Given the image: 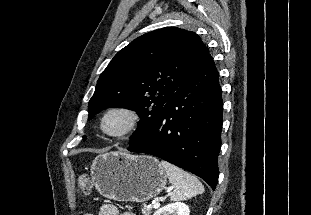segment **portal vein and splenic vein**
Instances as JSON below:
<instances>
[{
  "mask_svg": "<svg viewBox=\"0 0 311 215\" xmlns=\"http://www.w3.org/2000/svg\"><path fill=\"white\" fill-rule=\"evenodd\" d=\"M170 190H172V188H171ZM159 206H160V203H159V202H155V203L153 204V208H155V209L159 208Z\"/></svg>",
  "mask_w": 311,
  "mask_h": 215,
  "instance_id": "obj_1",
  "label": "portal vein and splenic vein"
}]
</instances>
